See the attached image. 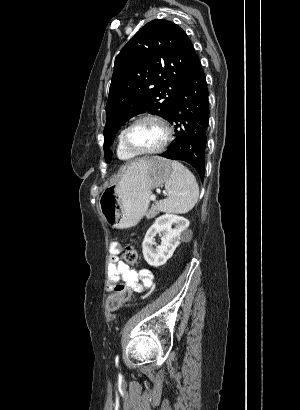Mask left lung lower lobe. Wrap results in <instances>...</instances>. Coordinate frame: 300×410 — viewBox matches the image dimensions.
I'll list each match as a JSON object with an SVG mask.
<instances>
[{
  "label": "left lung lower lobe",
  "mask_w": 300,
  "mask_h": 410,
  "mask_svg": "<svg viewBox=\"0 0 300 410\" xmlns=\"http://www.w3.org/2000/svg\"><path fill=\"white\" fill-rule=\"evenodd\" d=\"M175 127V139L160 156L190 163L203 180L209 122V94L197 56L182 82L167 119Z\"/></svg>",
  "instance_id": "1"
}]
</instances>
